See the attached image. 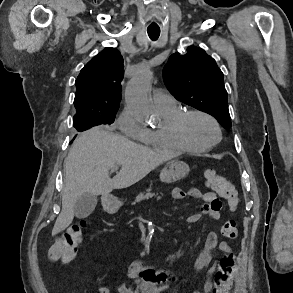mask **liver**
<instances>
[{
	"mask_svg": "<svg viewBox=\"0 0 293 293\" xmlns=\"http://www.w3.org/2000/svg\"><path fill=\"white\" fill-rule=\"evenodd\" d=\"M171 158L172 154L155 152L100 127L81 133L64 162L62 210L53 235L72 223L76 201L83 194L107 196L114 189L130 187ZM116 166L121 169L111 179L109 170Z\"/></svg>",
	"mask_w": 293,
	"mask_h": 293,
	"instance_id": "obj_1",
	"label": "liver"
}]
</instances>
